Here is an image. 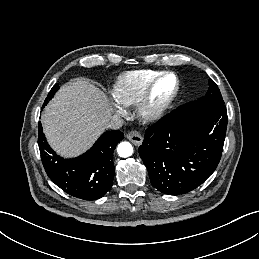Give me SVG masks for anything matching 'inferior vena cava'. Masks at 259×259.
<instances>
[{"label": "inferior vena cava", "mask_w": 259, "mask_h": 259, "mask_svg": "<svg viewBox=\"0 0 259 259\" xmlns=\"http://www.w3.org/2000/svg\"><path fill=\"white\" fill-rule=\"evenodd\" d=\"M123 124L124 120L120 116L113 115L109 120L108 127L115 130L122 127Z\"/></svg>", "instance_id": "inferior-vena-cava-1"}]
</instances>
